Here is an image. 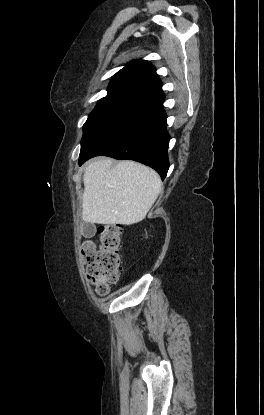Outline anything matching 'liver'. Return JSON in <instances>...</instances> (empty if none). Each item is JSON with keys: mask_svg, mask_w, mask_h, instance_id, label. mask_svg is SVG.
Segmentation results:
<instances>
[{"mask_svg": "<svg viewBox=\"0 0 264 415\" xmlns=\"http://www.w3.org/2000/svg\"><path fill=\"white\" fill-rule=\"evenodd\" d=\"M82 219L86 223L132 225L142 221L161 192L156 171L110 158L89 163L83 175Z\"/></svg>", "mask_w": 264, "mask_h": 415, "instance_id": "obj_1", "label": "liver"}]
</instances>
